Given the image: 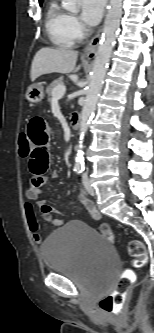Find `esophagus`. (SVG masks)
Here are the masks:
<instances>
[{
    "mask_svg": "<svg viewBox=\"0 0 154 333\" xmlns=\"http://www.w3.org/2000/svg\"><path fill=\"white\" fill-rule=\"evenodd\" d=\"M102 29H100L97 34L89 41V43L84 48L83 54L86 57H93L96 53V49L99 43Z\"/></svg>",
    "mask_w": 154,
    "mask_h": 333,
    "instance_id": "obj_1",
    "label": "esophagus"
}]
</instances>
